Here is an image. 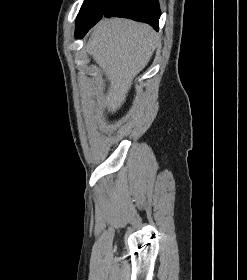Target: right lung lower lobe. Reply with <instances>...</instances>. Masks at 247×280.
<instances>
[{
  "label": "right lung lower lobe",
  "instance_id": "98d812e1",
  "mask_svg": "<svg viewBox=\"0 0 247 280\" xmlns=\"http://www.w3.org/2000/svg\"><path fill=\"white\" fill-rule=\"evenodd\" d=\"M161 15L157 0H111L100 17L83 25L76 26V37H83L101 17H124L152 25L158 30Z\"/></svg>",
  "mask_w": 247,
  "mask_h": 280
}]
</instances>
